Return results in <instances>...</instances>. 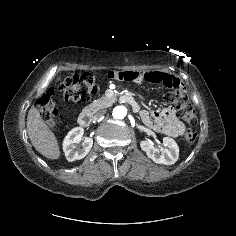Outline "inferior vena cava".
<instances>
[{
  "instance_id": "602c4592",
  "label": "inferior vena cava",
  "mask_w": 236,
  "mask_h": 236,
  "mask_svg": "<svg viewBox=\"0 0 236 236\" xmlns=\"http://www.w3.org/2000/svg\"><path fill=\"white\" fill-rule=\"evenodd\" d=\"M104 115V112H99L93 116V120L97 121L100 117Z\"/></svg>"
}]
</instances>
